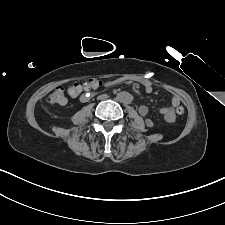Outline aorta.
Here are the masks:
<instances>
[{
	"mask_svg": "<svg viewBox=\"0 0 225 225\" xmlns=\"http://www.w3.org/2000/svg\"><path fill=\"white\" fill-rule=\"evenodd\" d=\"M117 98L122 102V103H130L133 100V96L128 93V92H120L117 96Z\"/></svg>",
	"mask_w": 225,
	"mask_h": 225,
	"instance_id": "762f6f07",
	"label": "aorta"
}]
</instances>
